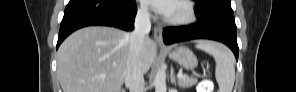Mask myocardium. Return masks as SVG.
I'll list each match as a JSON object with an SVG mask.
<instances>
[{
  "label": "myocardium",
  "instance_id": "1",
  "mask_svg": "<svg viewBox=\"0 0 296 92\" xmlns=\"http://www.w3.org/2000/svg\"><path fill=\"white\" fill-rule=\"evenodd\" d=\"M175 3L182 8V13L177 17H167L166 22L168 24L180 26L190 24L196 20L197 13L192 2L182 0Z\"/></svg>",
  "mask_w": 296,
  "mask_h": 92
}]
</instances>
